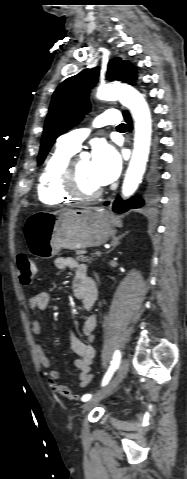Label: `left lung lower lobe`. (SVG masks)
I'll list each match as a JSON object with an SVG mask.
<instances>
[{
  "label": "left lung lower lobe",
  "mask_w": 187,
  "mask_h": 479,
  "mask_svg": "<svg viewBox=\"0 0 187 479\" xmlns=\"http://www.w3.org/2000/svg\"><path fill=\"white\" fill-rule=\"evenodd\" d=\"M123 115L125 117V121L127 122L128 129H129V131H131L132 121H131L130 115L127 111H124ZM156 178L157 177L155 176L154 180ZM155 198H156L155 193H152L148 201L152 202V201L155 200ZM108 204L109 203L106 202L104 205H108ZM143 204H144V201L142 199L138 198V197H132L129 200H126V201H123L120 197H118L116 199V201L113 203V211L117 212V213H123V212L128 211L129 209L140 208V207L143 206Z\"/></svg>",
  "instance_id": "obj_1"
}]
</instances>
